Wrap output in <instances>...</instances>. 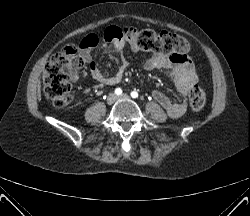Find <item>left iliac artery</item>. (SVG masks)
I'll list each match as a JSON object with an SVG mask.
<instances>
[{
	"label": "left iliac artery",
	"instance_id": "1",
	"mask_svg": "<svg viewBox=\"0 0 250 216\" xmlns=\"http://www.w3.org/2000/svg\"><path fill=\"white\" fill-rule=\"evenodd\" d=\"M131 97L132 98H137L138 97V93L136 91L131 92Z\"/></svg>",
	"mask_w": 250,
	"mask_h": 216
}]
</instances>
